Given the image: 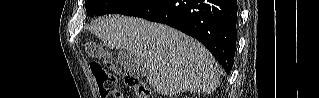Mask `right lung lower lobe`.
Wrapping results in <instances>:
<instances>
[{
    "instance_id": "right-lung-lower-lobe-1",
    "label": "right lung lower lobe",
    "mask_w": 319,
    "mask_h": 98,
    "mask_svg": "<svg viewBox=\"0 0 319 98\" xmlns=\"http://www.w3.org/2000/svg\"><path fill=\"white\" fill-rule=\"evenodd\" d=\"M237 0H146L122 13L164 23L199 40L229 74L237 39Z\"/></svg>"
}]
</instances>
